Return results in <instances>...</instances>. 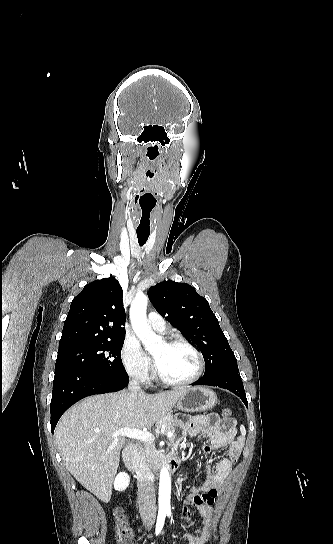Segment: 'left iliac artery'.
I'll return each mask as SVG.
<instances>
[{"label":"left iliac artery","mask_w":333,"mask_h":544,"mask_svg":"<svg viewBox=\"0 0 333 544\" xmlns=\"http://www.w3.org/2000/svg\"><path fill=\"white\" fill-rule=\"evenodd\" d=\"M167 515H168V516L170 517V515H171V512H170V511H167Z\"/></svg>","instance_id":"44dca946"}]
</instances>
